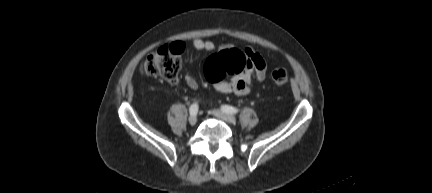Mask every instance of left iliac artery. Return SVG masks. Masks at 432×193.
<instances>
[{"instance_id": "1", "label": "left iliac artery", "mask_w": 432, "mask_h": 193, "mask_svg": "<svg viewBox=\"0 0 432 193\" xmlns=\"http://www.w3.org/2000/svg\"><path fill=\"white\" fill-rule=\"evenodd\" d=\"M221 109H222L224 112L229 113V114H236V113L239 112V110H238L237 108L232 107V106H229V105H222V106H221Z\"/></svg>"}]
</instances>
